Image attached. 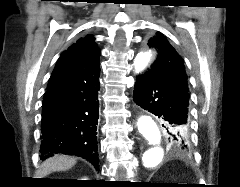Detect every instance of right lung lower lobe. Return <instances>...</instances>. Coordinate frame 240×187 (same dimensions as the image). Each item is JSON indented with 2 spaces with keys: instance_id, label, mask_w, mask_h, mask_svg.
Masks as SVG:
<instances>
[{
  "instance_id": "1",
  "label": "right lung lower lobe",
  "mask_w": 240,
  "mask_h": 187,
  "mask_svg": "<svg viewBox=\"0 0 240 187\" xmlns=\"http://www.w3.org/2000/svg\"><path fill=\"white\" fill-rule=\"evenodd\" d=\"M99 70L47 89L42 103L40 158L57 153L85 158L98 169Z\"/></svg>"
}]
</instances>
